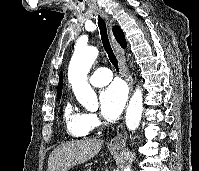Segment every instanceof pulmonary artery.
<instances>
[{
  "label": "pulmonary artery",
  "instance_id": "e3ab8cb5",
  "mask_svg": "<svg viewBox=\"0 0 199 171\" xmlns=\"http://www.w3.org/2000/svg\"><path fill=\"white\" fill-rule=\"evenodd\" d=\"M112 79V73L107 68H98L90 77L89 82L93 86H103L108 84Z\"/></svg>",
  "mask_w": 199,
  "mask_h": 171
}]
</instances>
